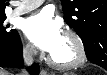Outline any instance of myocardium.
<instances>
[{
	"label": "myocardium",
	"instance_id": "f54148a6",
	"mask_svg": "<svg viewBox=\"0 0 107 75\" xmlns=\"http://www.w3.org/2000/svg\"><path fill=\"white\" fill-rule=\"evenodd\" d=\"M64 35L71 40L75 48V57L68 62H59L52 55L49 56V63L58 69H71L82 65L86 60V49L80 36L71 29H67Z\"/></svg>",
	"mask_w": 107,
	"mask_h": 75
}]
</instances>
